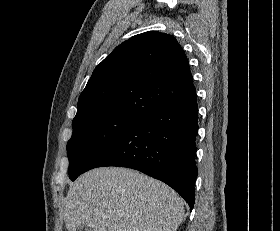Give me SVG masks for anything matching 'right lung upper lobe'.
<instances>
[{"label": "right lung upper lobe", "mask_w": 280, "mask_h": 231, "mask_svg": "<svg viewBox=\"0 0 280 231\" xmlns=\"http://www.w3.org/2000/svg\"><path fill=\"white\" fill-rule=\"evenodd\" d=\"M196 97L188 59L176 39L155 31L116 47L93 71L73 120L142 119L165 105Z\"/></svg>", "instance_id": "right-lung-upper-lobe-1"}]
</instances>
